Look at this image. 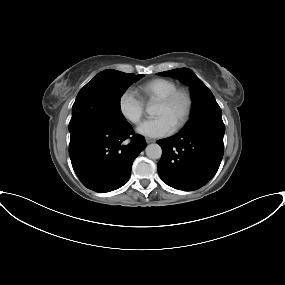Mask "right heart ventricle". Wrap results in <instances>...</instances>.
<instances>
[{"label": "right heart ventricle", "mask_w": 285, "mask_h": 285, "mask_svg": "<svg viewBox=\"0 0 285 285\" xmlns=\"http://www.w3.org/2000/svg\"><path fill=\"white\" fill-rule=\"evenodd\" d=\"M177 87V83L171 79L155 78L140 85L138 92L147 102L159 101Z\"/></svg>", "instance_id": "1"}]
</instances>
